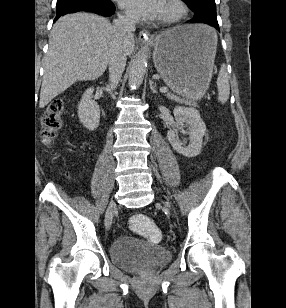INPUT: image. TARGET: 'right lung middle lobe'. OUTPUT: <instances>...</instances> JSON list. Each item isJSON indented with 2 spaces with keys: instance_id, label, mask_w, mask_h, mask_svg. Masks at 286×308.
Returning <instances> with one entry per match:
<instances>
[{
  "instance_id": "1",
  "label": "right lung middle lobe",
  "mask_w": 286,
  "mask_h": 308,
  "mask_svg": "<svg viewBox=\"0 0 286 308\" xmlns=\"http://www.w3.org/2000/svg\"><path fill=\"white\" fill-rule=\"evenodd\" d=\"M76 2H100L105 4L110 2V0H57V7Z\"/></svg>"
}]
</instances>
